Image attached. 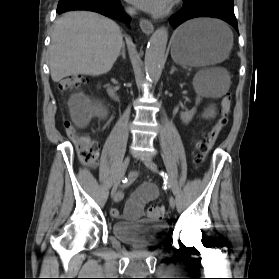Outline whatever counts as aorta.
I'll return each mask as SVG.
<instances>
[{"label": "aorta", "mask_w": 279, "mask_h": 279, "mask_svg": "<svg viewBox=\"0 0 279 279\" xmlns=\"http://www.w3.org/2000/svg\"><path fill=\"white\" fill-rule=\"evenodd\" d=\"M168 41V30L166 27L158 28L150 38L145 53V72L150 78H158L161 75L166 45Z\"/></svg>", "instance_id": "obj_1"}]
</instances>
